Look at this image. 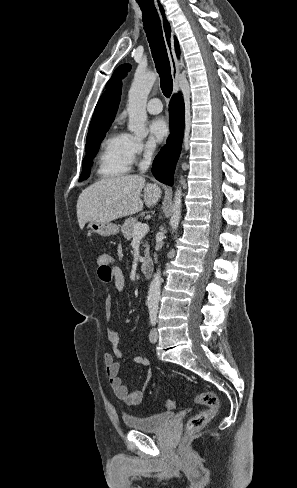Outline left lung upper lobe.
I'll return each mask as SVG.
<instances>
[{"label": "left lung upper lobe", "mask_w": 297, "mask_h": 488, "mask_svg": "<svg viewBox=\"0 0 297 488\" xmlns=\"http://www.w3.org/2000/svg\"><path fill=\"white\" fill-rule=\"evenodd\" d=\"M130 70V65L124 64L119 66L116 71L114 72L112 78L108 81L106 86L110 85L114 80L117 78H124V76L127 74V72Z\"/></svg>", "instance_id": "obj_1"}]
</instances>
